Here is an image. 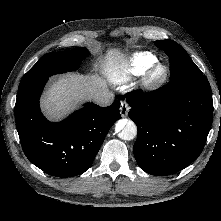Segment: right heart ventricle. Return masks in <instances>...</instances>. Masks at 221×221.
<instances>
[{
  "label": "right heart ventricle",
  "instance_id": "right-heart-ventricle-1",
  "mask_svg": "<svg viewBox=\"0 0 221 221\" xmlns=\"http://www.w3.org/2000/svg\"><path fill=\"white\" fill-rule=\"evenodd\" d=\"M156 62L158 58L151 52L135 53L120 68H116L111 73V80L114 83H126L144 74Z\"/></svg>",
  "mask_w": 221,
  "mask_h": 221
}]
</instances>
